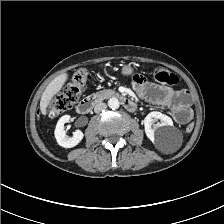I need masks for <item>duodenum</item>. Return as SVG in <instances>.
Listing matches in <instances>:
<instances>
[{
	"mask_svg": "<svg viewBox=\"0 0 224 224\" xmlns=\"http://www.w3.org/2000/svg\"><path fill=\"white\" fill-rule=\"evenodd\" d=\"M103 98H115L120 99L129 112H134L136 110V104L133 100L128 97L123 96L117 91L107 90L101 93L92 94L85 99H83L76 108L78 114L85 115L88 114L91 109Z\"/></svg>",
	"mask_w": 224,
	"mask_h": 224,
	"instance_id": "obj_1",
	"label": "duodenum"
}]
</instances>
